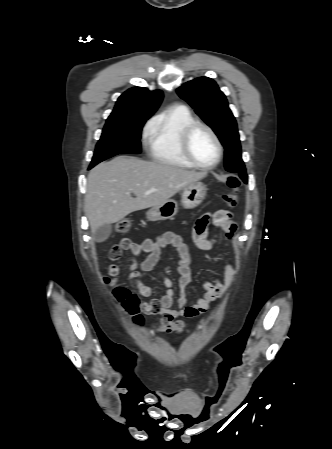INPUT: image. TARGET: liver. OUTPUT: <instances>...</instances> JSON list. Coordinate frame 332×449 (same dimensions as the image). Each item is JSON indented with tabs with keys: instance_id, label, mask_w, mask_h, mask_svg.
I'll return each instance as SVG.
<instances>
[{
	"instance_id": "liver-1",
	"label": "liver",
	"mask_w": 332,
	"mask_h": 449,
	"mask_svg": "<svg viewBox=\"0 0 332 449\" xmlns=\"http://www.w3.org/2000/svg\"><path fill=\"white\" fill-rule=\"evenodd\" d=\"M206 176L205 172L129 156L100 163L88 175L85 196L84 209L91 229L96 231L134 211L160 205Z\"/></svg>"
}]
</instances>
